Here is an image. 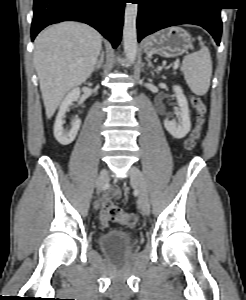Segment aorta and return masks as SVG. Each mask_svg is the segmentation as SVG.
I'll return each instance as SVG.
<instances>
[{
  "mask_svg": "<svg viewBox=\"0 0 246 300\" xmlns=\"http://www.w3.org/2000/svg\"><path fill=\"white\" fill-rule=\"evenodd\" d=\"M137 13L138 4L126 3L124 13L123 43L125 56L130 63H134L138 51L136 26Z\"/></svg>",
  "mask_w": 246,
  "mask_h": 300,
  "instance_id": "aorta-1",
  "label": "aorta"
}]
</instances>
